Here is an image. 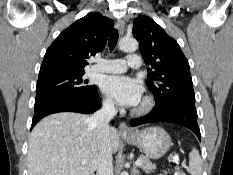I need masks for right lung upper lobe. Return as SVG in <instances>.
<instances>
[{
    "label": "right lung upper lobe",
    "instance_id": "obj_1",
    "mask_svg": "<svg viewBox=\"0 0 233 175\" xmlns=\"http://www.w3.org/2000/svg\"><path fill=\"white\" fill-rule=\"evenodd\" d=\"M114 22L98 13H90L60 33L46 51L39 78L84 72L87 59L106 45Z\"/></svg>",
    "mask_w": 233,
    "mask_h": 175
}]
</instances>
